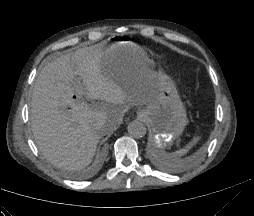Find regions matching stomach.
I'll return each instance as SVG.
<instances>
[{"mask_svg": "<svg viewBox=\"0 0 254 216\" xmlns=\"http://www.w3.org/2000/svg\"><path fill=\"white\" fill-rule=\"evenodd\" d=\"M106 48L110 50V69L126 76L152 73L151 102L139 110L138 117L150 126L151 142L156 147L165 149L171 146L187 125L186 109L173 81L163 72L152 70L147 54L128 37H116Z\"/></svg>", "mask_w": 254, "mask_h": 216, "instance_id": "0dacf381", "label": "stomach"}]
</instances>
